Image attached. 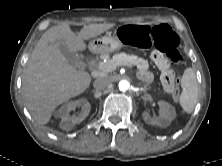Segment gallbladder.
<instances>
[{
    "instance_id": "bac80fb5",
    "label": "gallbladder",
    "mask_w": 222,
    "mask_h": 166,
    "mask_svg": "<svg viewBox=\"0 0 222 166\" xmlns=\"http://www.w3.org/2000/svg\"><path fill=\"white\" fill-rule=\"evenodd\" d=\"M59 49L68 64L72 67H79L80 59L77 53L72 51L64 40L59 42Z\"/></svg>"
}]
</instances>
